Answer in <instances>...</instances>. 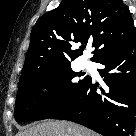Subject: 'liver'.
Returning a JSON list of instances; mask_svg holds the SVG:
<instances>
[{"label":"liver","instance_id":"1","mask_svg":"<svg viewBox=\"0 0 136 136\" xmlns=\"http://www.w3.org/2000/svg\"><path fill=\"white\" fill-rule=\"evenodd\" d=\"M16 136H97L90 130L67 121H46L27 127Z\"/></svg>","mask_w":136,"mask_h":136}]
</instances>
